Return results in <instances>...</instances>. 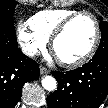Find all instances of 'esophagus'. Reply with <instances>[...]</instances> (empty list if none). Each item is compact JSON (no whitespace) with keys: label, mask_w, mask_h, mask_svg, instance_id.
<instances>
[{"label":"esophagus","mask_w":108,"mask_h":108,"mask_svg":"<svg viewBox=\"0 0 108 108\" xmlns=\"http://www.w3.org/2000/svg\"><path fill=\"white\" fill-rule=\"evenodd\" d=\"M40 72L41 74H48L50 73V70L45 68L44 66H40Z\"/></svg>","instance_id":"34e87169"}]
</instances>
